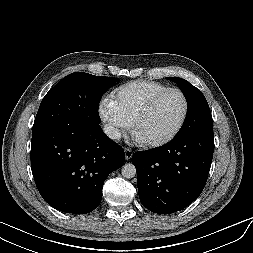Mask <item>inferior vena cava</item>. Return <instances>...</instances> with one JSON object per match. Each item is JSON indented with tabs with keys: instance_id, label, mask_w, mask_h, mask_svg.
Listing matches in <instances>:
<instances>
[{
	"instance_id": "inferior-vena-cava-1",
	"label": "inferior vena cava",
	"mask_w": 253,
	"mask_h": 253,
	"mask_svg": "<svg viewBox=\"0 0 253 253\" xmlns=\"http://www.w3.org/2000/svg\"><path fill=\"white\" fill-rule=\"evenodd\" d=\"M104 133L113 140H119L121 133L118 128H115L112 124H105L103 128Z\"/></svg>"
}]
</instances>
